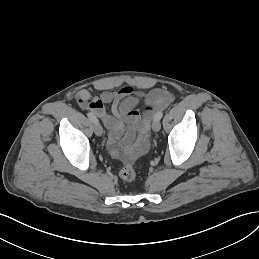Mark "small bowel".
Wrapping results in <instances>:
<instances>
[{"label": "small bowel", "mask_w": 259, "mask_h": 259, "mask_svg": "<svg viewBox=\"0 0 259 259\" xmlns=\"http://www.w3.org/2000/svg\"><path fill=\"white\" fill-rule=\"evenodd\" d=\"M97 88L101 91L98 96L82 89L76 93V100L82 109L96 115L109 129V152L117 158H135L144 154L148 149L153 114L157 109L168 106L172 95L163 89L142 93L135 92L130 86L119 90L102 85ZM140 103L145 105L143 113L136 110ZM107 104H111V113L106 110ZM118 142L119 146H116Z\"/></svg>", "instance_id": "small-bowel-1"}]
</instances>
